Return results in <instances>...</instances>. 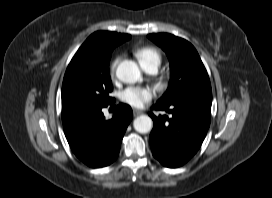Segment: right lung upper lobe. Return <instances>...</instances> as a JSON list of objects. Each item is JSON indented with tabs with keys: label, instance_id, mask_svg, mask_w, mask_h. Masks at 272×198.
Returning a JSON list of instances; mask_svg holds the SVG:
<instances>
[{
	"label": "right lung upper lobe",
	"instance_id": "obj_1",
	"mask_svg": "<svg viewBox=\"0 0 272 198\" xmlns=\"http://www.w3.org/2000/svg\"><path fill=\"white\" fill-rule=\"evenodd\" d=\"M131 38L129 34L97 31L90 35L78 49L65 72L62 85V113L72 110L67 104L66 88L71 79L86 69L92 61L112 53L113 49Z\"/></svg>",
	"mask_w": 272,
	"mask_h": 198
}]
</instances>
